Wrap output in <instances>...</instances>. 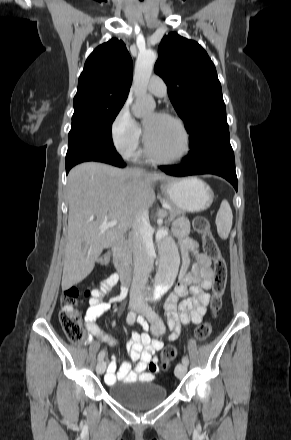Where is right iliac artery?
Instances as JSON below:
<instances>
[{
	"instance_id": "obj_1",
	"label": "right iliac artery",
	"mask_w": 291,
	"mask_h": 440,
	"mask_svg": "<svg viewBox=\"0 0 291 440\" xmlns=\"http://www.w3.org/2000/svg\"><path fill=\"white\" fill-rule=\"evenodd\" d=\"M136 319V313L134 311H130L127 315V323L129 325H132L135 322ZM105 357V351L102 350L99 354H98V361L103 360Z\"/></svg>"
}]
</instances>
